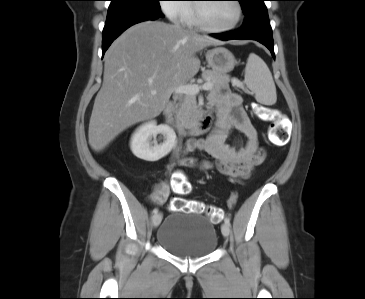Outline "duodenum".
Here are the masks:
<instances>
[{
    "mask_svg": "<svg viewBox=\"0 0 365 299\" xmlns=\"http://www.w3.org/2000/svg\"><path fill=\"white\" fill-rule=\"evenodd\" d=\"M175 104L169 102L164 108L163 115L166 124L173 127L174 130L180 135H197L206 131L210 126V117L208 115H202L196 121L188 124H176L173 119Z\"/></svg>",
    "mask_w": 365,
    "mask_h": 299,
    "instance_id": "1",
    "label": "duodenum"
}]
</instances>
